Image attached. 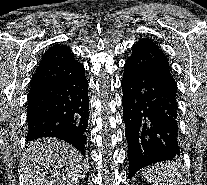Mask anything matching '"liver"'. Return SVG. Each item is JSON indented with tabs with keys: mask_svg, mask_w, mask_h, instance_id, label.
I'll return each instance as SVG.
<instances>
[{
	"mask_svg": "<svg viewBox=\"0 0 207 185\" xmlns=\"http://www.w3.org/2000/svg\"><path fill=\"white\" fill-rule=\"evenodd\" d=\"M26 185H76L86 173L77 149L60 139H39L25 153Z\"/></svg>",
	"mask_w": 207,
	"mask_h": 185,
	"instance_id": "obj_1",
	"label": "liver"
}]
</instances>
